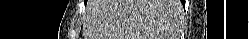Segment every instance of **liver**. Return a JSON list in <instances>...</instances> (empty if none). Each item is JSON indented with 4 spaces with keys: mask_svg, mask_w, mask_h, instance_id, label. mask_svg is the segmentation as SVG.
<instances>
[{
    "mask_svg": "<svg viewBox=\"0 0 249 39\" xmlns=\"http://www.w3.org/2000/svg\"><path fill=\"white\" fill-rule=\"evenodd\" d=\"M84 39H166L172 30V0L91 2Z\"/></svg>",
    "mask_w": 249,
    "mask_h": 39,
    "instance_id": "6515ba94",
    "label": "liver"
}]
</instances>
